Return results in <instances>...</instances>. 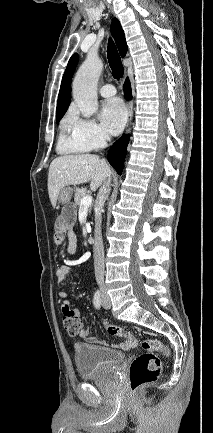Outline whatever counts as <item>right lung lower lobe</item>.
<instances>
[{"mask_svg": "<svg viewBox=\"0 0 213 433\" xmlns=\"http://www.w3.org/2000/svg\"><path fill=\"white\" fill-rule=\"evenodd\" d=\"M124 94L126 99H131V87L128 79L124 85ZM128 142L129 136L123 135L113 144L108 152V161L116 169L118 174H120L123 170V163L127 152Z\"/></svg>", "mask_w": 213, "mask_h": 433, "instance_id": "right-lung-lower-lobe-1", "label": "right lung lower lobe"}]
</instances>
